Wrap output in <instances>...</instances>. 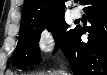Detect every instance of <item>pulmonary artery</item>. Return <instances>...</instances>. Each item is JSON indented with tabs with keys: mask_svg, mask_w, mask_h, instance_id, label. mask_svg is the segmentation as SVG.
Masks as SVG:
<instances>
[{
	"mask_svg": "<svg viewBox=\"0 0 107 75\" xmlns=\"http://www.w3.org/2000/svg\"><path fill=\"white\" fill-rule=\"evenodd\" d=\"M71 16H72V18H74V19L79 18V17L81 16L80 10L77 9V8L72 9V10H71Z\"/></svg>",
	"mask_w": 107,
	"mask_h": 75,
	"instance_id": "1",
	"label": "pulmonary artery"
}]
</instances>
